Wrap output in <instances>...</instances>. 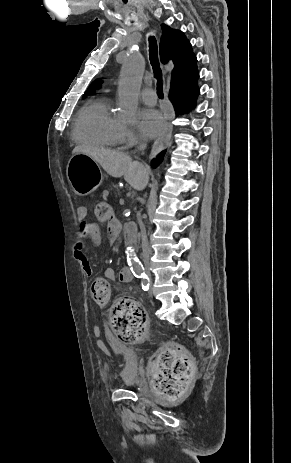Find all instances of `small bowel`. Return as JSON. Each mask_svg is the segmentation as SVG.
Listing matches in <instances>:
<instances>
[{
    "instance_id": "c3829d8e",
    "label": "small bowel",
    "mask_w": 291,
    "mask_h": 463,
    "mask_svg": "<svg viewBox=\"0 0 291 463\" xmlns=\"http://www.w3.org/2000/svg\"><path fill=\"white\" fill-rule=\"evenodd\" d=\"M78 217L80 220V227H79V240L75 243L73 248L74 257L77 262L80 264L83 273L86 276H91L93 273L92 267L90 262L88 261L87 256L83 251V239L89 238L90 241L94 245H99L101 243V232L98 226L88 220V211L86 208H80L78 211ZM107 222V229H108V244L110 246H116L118 244V239L116 238L117 235L120 233L119 223L112 213V218L106 219ZM125 269H129L128 267L123 268L119 275L113 268H107L104 271V276L110 281L119 280L121 282H130L133 280V275L130 272H126ZM130 270V269H129Z\"/></svg>"
}]
</instances>
